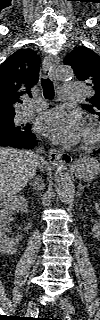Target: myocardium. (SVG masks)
<instances>
[{"label":"myocardium","mask_w":100,"mask_h":320,"mask_svg":"<svg viewBox=\"0 0 100 320\" xmlns=\"http://www.w3.org/2000/svg\"><path fill=\"white\" fill-rule=\"evenodd\" d=\"M84 135L81 148L88 149L95 145L99 140V132L94 123L88 122L83 129Z\"/></svg>","instance_id":"f54148a6"}]
</instances>
